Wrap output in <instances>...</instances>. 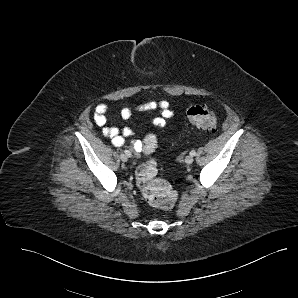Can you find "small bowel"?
<instances>
[{
    "mask_svg": "<svg viewBox=\"0 0 298 298\" xmlns=\"http://www.w3.org/2000/svg\"><path fill=\"white\" fill-rule=\"evenodd\" d=\"M108 109L109 107L106 103L98 104L95 108L93 119L96 125L102 127L103 135L109 137L112 144L119 147L125 144L126 138L134 134V130L129 126H125L122 129L106 126V114L108 112ZM152 111H157L159 113V116L155 117L152 120V125L159 128L165 127L167 120L173 118L175 115L170 103L166 100H152L138 103L135 106H126L121 109L120 115L123 120L129 121L132 115L136 112ZM130 147L133 151L140 153L142 142L138 139H134L131 141Z\"/></svg>",
    "mask_w": 298,
    "mask_h": 298,
    "instance_id": "c3829d8e",
    "label": "small bowel"
}]
</instances>
